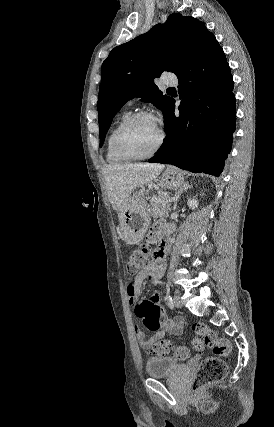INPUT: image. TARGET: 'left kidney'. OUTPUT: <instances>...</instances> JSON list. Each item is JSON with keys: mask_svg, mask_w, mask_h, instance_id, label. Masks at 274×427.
<instances>
[{"mask_svg": "<svg viewBox=\"0 0 274 427\" xmlns=\"http://www.w3.org/2000/svg\"><path fill=\"white\" fill-rule=\"evenodd\" d=\"M188 206L191 210H195V208H198L197 200H188Z\"/></svg>", "mask_w": 274, "mask_h": 427, "instance_id": "obj_1", "label": "left kidney"}]
</instances>
